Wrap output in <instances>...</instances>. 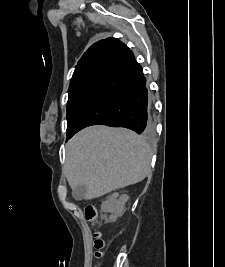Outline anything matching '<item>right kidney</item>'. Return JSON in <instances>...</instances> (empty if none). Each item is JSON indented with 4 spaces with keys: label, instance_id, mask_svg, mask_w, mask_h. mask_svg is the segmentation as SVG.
I'll list each match as a JSON object with an SVG mask.
<instances>
[{
    "label": "right kidney",
    "instance_id": "1",
    "mask_svg": "<svg viewBox=\"0 0 225 267\" xmlns=\"http://www.w3.org/2000/svg\"><path fill=\"white\" fill-rule=\"evenodd\" d=\"M128 199L129 197L125 194L119 197V194L115 193L102 203L101 209L105 213H111L109 220L114 222L124 213L125 203L128 201Z\"/></svg>",
    "mask_w": 225,
    "mask_h": 267
}]
</instances>
